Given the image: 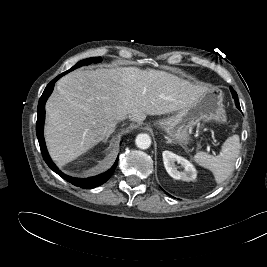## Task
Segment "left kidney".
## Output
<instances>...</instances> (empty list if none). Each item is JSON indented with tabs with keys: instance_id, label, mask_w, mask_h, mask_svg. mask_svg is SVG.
<instances>
[{
	"instance_id": "obj_1",
	"label": "left kidney",
	"mask_w": 267,
	"mask_h": 267,
	"mask_svg": "<svg viewBox=\"0 0 267 267\" xmlns=\"http://www.w3.org/2000/svg\"><path fill=\"white\" fill-rule=\"evenodd\" d=\"M162 156L165 169L172 178L187 182L195 180L197 171L187 159L178 156L171 151H164L162 153ZM175 162L180 164L181 167L184 168V170L178 171L175 167Z\"/></svg>"
}]
</instances>
